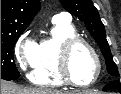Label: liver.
Here are the masks:
<instances>
[{"label":"liver","mask_w":121,"mask_h":94,"mask_svg":"<svg viewBox=\"0 0 121 94\" xmlns=\"http://www.w3.org/2000/svg\"><path fill=\"white\" fill-rule=\"evenodd\" d=\"M1 94H86V93H81V92L64 93L63 91L59 90L21 87L14 84L13 82L1 80Z\"/></svg>","instance_id":"obj_1"}]
</instances>
